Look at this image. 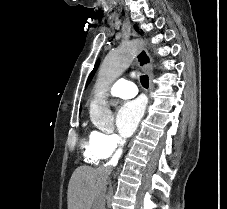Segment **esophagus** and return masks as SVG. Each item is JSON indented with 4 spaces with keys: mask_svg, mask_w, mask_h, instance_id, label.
<instances>
[{
    "mask_svg": "<svg viewBox=\"0 0 227 209\" xmlns=\"http://www.w3.org/2000/svg\"><path fill=\"white\" fill-rule=\"evenodd\" d=\"M133 36H138V34L133 31ZM136 61L141 67V69L148 75L150 79V91L154 89V85L152 83V80L154 78L153 76V59L146 50V48H141L137 53H136Z\"/></svg>",
    "mask_w": 227,
    "mask_h": 209,
    "instance_id": "1",
    "label": "esophagus"
}]
</instances>
